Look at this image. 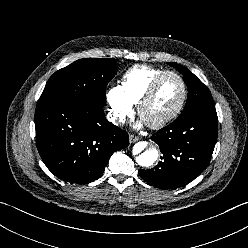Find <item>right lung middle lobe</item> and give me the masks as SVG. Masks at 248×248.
I'll return each instance as SVG.
<instances>
[{
  "label": "right lung middle lobe",
  "mask_w": 248,
  "mask_h": 248,
  "mask_svg": "<svg viewBox=\"0 0 248 248\" xmlns=\"http://www.w3.org/2000/svg\"><path fill=\"white\" fill-rule=\"evenodd\" d=\"M116 65V59L77 60L50 77L38 103L61 101L89 110L102 109L107 84L117 72Z\"/></svg>",
  "instance_id": "right-lung-middle-lobe-1"
}]
</instances>
